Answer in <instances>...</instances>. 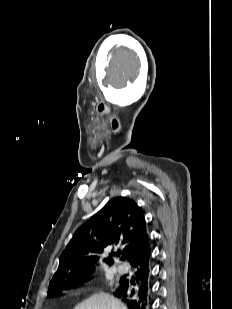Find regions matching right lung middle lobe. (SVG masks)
I'll return each instance as SVG.
<instances>
[{
    "mask_svg": "<svg viewBox=\"0 0 232 309\" xmlns=\"http://www.w3.org/2000/svg\"><path fill=\"white\" fill-rule=\"evenodd\" d=\"M90 275L91 274L86 275L84 277H81L79 279H75V280H69V281H62V282L54 283L48 289V296L53 297V296L59 295L63 290H67V289L71 288L72 285H77V284H80V283L87 282L91 279Z\"/></svg>",
    "mask_w": 232,
    "mask_h": 309,
    "instance_id": "right-lung-middle-lobe-1",
    "label": "right lung middle lobe"
}]
</instances>
